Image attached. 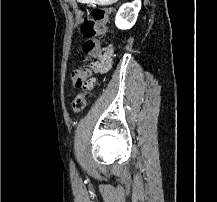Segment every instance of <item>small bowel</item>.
I'll use <instances>...</instances> for the list:
<instances>
[{
    "mask_svg": "<svg viewBox=\"0 0 217 202\" xmlns=\"http://www.w3.org/2000/svg\"><path fill=\"white\" fill-rule=\"evenodd\" d=\"M98 57V63L96 64L95 68L100 71L104 72L109 70L112 67L113 63V47L106 46L103 48H99L96 52Z\"/></svg>",
    "mask_w": 217,
    "mask_h": 202,
    "instance_id": "obj_1",
    "label": "small bowel"
}]
</instances>
